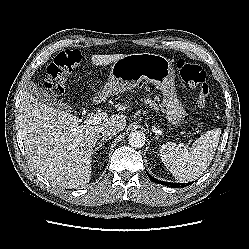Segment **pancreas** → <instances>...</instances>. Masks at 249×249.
Instances as JSON below:
<instances>
[{
  "instance_id": "cf45deb5",
  "label": "pancreas",
  "mask_w": 249,
  "mask_h": 249,
  "mask_svg": "<svg viewBox=\"0 0 249 249\" xmlns=\"http://www.w3.org/2000/svg\"><path fill=\"white\" fill-rule=\"evenodd\" d=\"M146 104H149V105H154V102L150 99H145L144 100Z\"/></svg>"
}]
</instances>
